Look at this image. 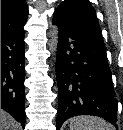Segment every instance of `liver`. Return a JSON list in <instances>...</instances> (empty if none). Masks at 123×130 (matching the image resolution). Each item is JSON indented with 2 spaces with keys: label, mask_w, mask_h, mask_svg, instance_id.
I'll return each instance as SVG.
<instances>
[{
  "label": "liver",
  "mask_w": 123,
  "mask_h": 130,
  "mask_svg": "<svg viewBox=\"0 0 123 130\" xmlns=\"http://www.w3.org/2000/svg\"><path fill=\"white\" fill-rule=\"evenodd\" d=\"M19 124L7 112L1 109V130H18Z\"/></svg>",
  "instance_id": "6515ba94"
}]
</instances>
